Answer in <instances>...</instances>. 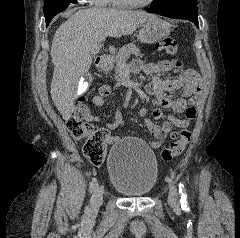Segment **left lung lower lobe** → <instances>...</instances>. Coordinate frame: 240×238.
I'll list each match as a JSON object with an SVG mask.
<instances>
[{"label": "left lung lower lobe", "mask_w": 240, "mask_h": 238, "mask_svg": "<svg viewBox=\"0 0 240 238\" xmlns=\"http://www.w3.org/2000/svg\"><path fill=\"white\" fill-rule=\"evenodd\" d=\"M148 11L165 17L189 20L197 26L199 24L197 5L169 4L159 8H150Z\"/></svg>", "instance_id": "0a47b994"}]
</instances>
